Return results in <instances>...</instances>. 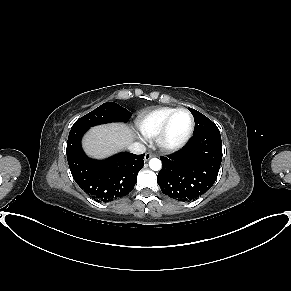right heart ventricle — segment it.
Returning a JSON list of instances; mask_svg holds the SVG:
<instances>
[{
  "instance_id": "obj_1",
  "label": "right heart ventricle",
  "mask_w": 291,
  "mask_h": 291,
  "mask_svg": "<svg viewBox=\"0 0 291 291\" xmlns=\"http://www.w3.org/2000/svg\"><path fill=\"white\" fill-rule=\"evenodd\" d=\"M175 110L171 107H161L142 115L138 120L141 133L147 138H154L160 132L167 117Z\"/></svg>"
}]
</instances>
